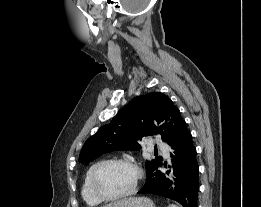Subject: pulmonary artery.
I'll return each mask as SVG.
<instances>
[{
    "label": "pulmonary artery",
    "instance_id": "pulmonary-artery-1",
    "mask_svg": "<svg viewBox=\"0 0 261 207\" xmlns=\"http://www.w3.org/2000/svg\"><path fill=\"white\" fill-rule=\"evenodd\" d=\"M157 146H158V148L164 150L165 155L168 156L167 149H166V147H165V145H164L163 143H161V142H157Z\"/></svg>",
    "mask_w": 261,
    "mask_h": 207
}]
</instances>
